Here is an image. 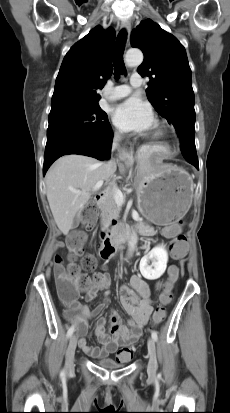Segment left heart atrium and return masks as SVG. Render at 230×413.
I'll return each mask as SVG.
<instances>
[{
    "label": "left heart atrium",
    "instance_id": "1",
    "mask_svg": "<svg viewBox=\"0 0 230 413\" xmlns=\"http://www.w3.org/2000/svg\"><path fill=\"white\" fill-rule=\"evenodd\" d=\"M113 122L124 132L143 133L152 127L153 115L148 104L130 98L115 108Z\"/></svg>",
    "mask_w": 230,
    "mask_h": 413
}]
</instances>
